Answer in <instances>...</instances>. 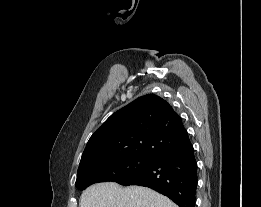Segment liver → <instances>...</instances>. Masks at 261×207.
<instances>
[{"label": "liver", "mask_w": 261, "mask_h": 207, "mask_svg": "<svg viewBox=\"0 0 261 207\" xmlns=\"http://www.w3.org/2000/svg\"><path fill=\"white\" fill-rule=\"evenodd\" d=\"M80 207H178L166 196L142 186L121 187L115 182L89 186L80 197Z\"/></svg>", "instance_id": "1"}]
</instances>
